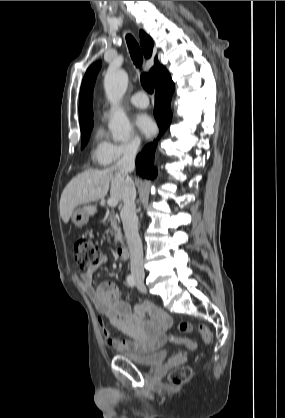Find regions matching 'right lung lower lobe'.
<instances>
[{
  "label": "right lung lower lobe",
  "instance_id": "1",
  "mask_svg": "<svg viewBox=\"0 0 285 418\" xmlns=\"http://www.w3.org/2000/svg\"><path fill=\"white\" fill-rule=\"evenodd\" d=\"M174 89L175 86L170 76L156 87L154 115L160 129V134L157 139L147 144L136 158L137 173L143 178H153L157 174L153 165V158L157 141L169 126L172 118L170 102Z\"/></svg>",
  "mask_w": 285,
  "mask_h": 418
}]
</instances>
